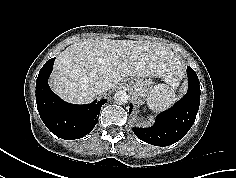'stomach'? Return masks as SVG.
Returning <instances> with one entry per match:
<instances>
[{
  "mask_svg": "<svg viewBox=\"0 0 236 178\" xmlns=\"http://www.w3.org/2000/svg\"><path fill=\"white\" fill-rule=\"evenodd\" d=\"M152 88L153 81L151 77L136 78L130 82L131 93L137 100L147 99Z\"/></svg>",
  "mask_w": 236,
  "mask_h": 178,
  "instance_id": "obj_1",
  "label": "stomach"
}]
</instances>
